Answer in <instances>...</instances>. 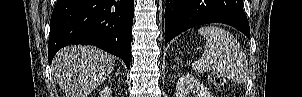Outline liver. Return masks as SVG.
<instances>
[{
	"mask_svg": "<svg viewBox=\"0 0 302 97\" xmlns=\"http://www.w3.org/2000/svg\"><path fill=\"white\" fill-rule=\"evenodd\" d=\"M115 59L92 46H67L53 59L52 69L66 97H88L113 71Z\"/></svg>",
	"mask_w": 302,
	"mask_h": 97,
	"instance_id": "1",
	"label": "liver"
}]
</instances>
